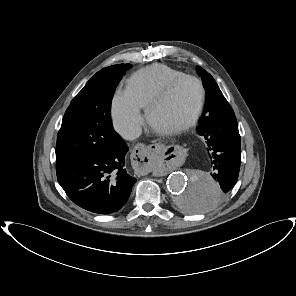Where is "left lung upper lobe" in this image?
<instances>
[{"mask_svg": "<svg viewBox=\"0 0 296 296\" xmlns=\"http://www.w3.org/2000/svg\"><path fill=\"white\" fill-rule=\"evenodd\" d=\"M197 72L202 77L203 85L207 94L206 104L202 114L203 116L206 115L217 103L224 100L225 97L222 95V92L220 91L214 78L208 72L200 66L197 67Z\"/></svg>", "mask_w": 296, "mask_h": 296, "instance_id": "1", "label": "left lung upper lobe"}]
</instances>
